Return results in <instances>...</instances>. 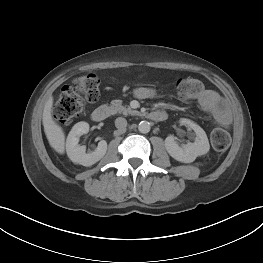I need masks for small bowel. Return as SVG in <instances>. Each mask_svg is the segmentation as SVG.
I'll return each instance as SVG.
<instances>
[{"label": "small bowel", "instance_id": "1", "mask_svg": "<svg viewBox=\"0 0 263 263\" xmlns=\"http://www.w3.org/2000/svg\"><path fill=\"white\" fill-rule=\"evenodd\" d=\"M134 94L139 99H151L157 95L154 89L147 87H139L135 89ZM198 103L204 111L212 116L215 123L220 126L230 125V114L226 109L224 101L217 92L213 90L204 91L199 96Z\"/></svg>", "mask_w": 263, "mask_h": 263}]
</instances>
